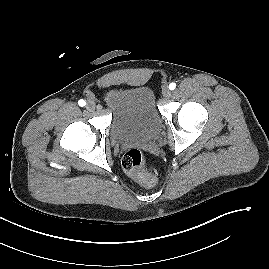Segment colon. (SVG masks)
Masks as SVG:
<instances>
[{"label": "colon", "mask_w": 269, "mask_h": 269, "mask_svg": "<svg viewBox=\"0 0 269 269\" xmlns=\"http://www.w3.org/2000/svg\"><path fill=\"white\" fill-rule=\"evenodd\" d=\"M122 166L130 176L142 184L151 186L155 183L153 174L145 168V156L140 150H128L123 157Z\"/></svg>", "instance_id": "obj_1"}]
</instances>
